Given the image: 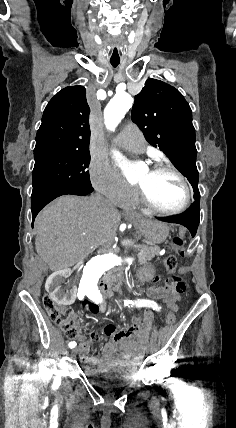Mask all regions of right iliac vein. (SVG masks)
<instances>
[{"label": "right iliac vein", "instance_id": "right-iliac-vein-1", "mask_svg": "<svg viewBox=\"0 0 236 428\" xmlns=\"http://www.w3.org/2000/svg\"><path fill=\"white\" fill-rule=\"evenodd\" d=\"M74 350H75V351H72V352H71V355H72V356H77V355H78V352H77V351L79 350V347H78V346H75Z\"/></svg>", "mask_w": 236, "mask_h": 428}]
</instances>
